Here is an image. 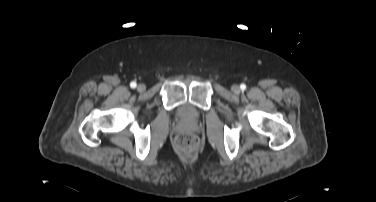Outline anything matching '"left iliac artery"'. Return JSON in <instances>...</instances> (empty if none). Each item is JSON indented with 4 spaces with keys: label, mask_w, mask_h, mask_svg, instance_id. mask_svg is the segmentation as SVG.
I'll return each instance as SVG.
<instances>
[{
    "label": "left iliac artery",
    "mask_w": 376,
    "mask_h": 202,
    "mask_svg": "<svg viewBox=\"0 0 376 202\" xmlns=\"http://www.w3.org/2000/svg\"><path fill=\"white\" fill-rule=\"evenodd\" d=\"M240 88H241L242 90H245V89H246V85H245V84H241V85H240Z\"/></svg>",
    "instance_id": "1"
}]
</instances>
